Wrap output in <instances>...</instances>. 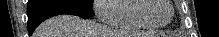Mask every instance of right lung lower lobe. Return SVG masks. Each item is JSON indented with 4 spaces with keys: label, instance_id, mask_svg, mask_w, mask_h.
Returning <instances> with one entry per match:
<instances>
[{
    "label": "right lung lower lobe",
    "instance_id": "right-lung-lower-lobe-1",
    "mask_svg": "<svg viewBox=\"0 0 219 37\" xmlns=\"http://www.w3.org/2000/svg\"><path fill=\"white\" fill-rule=\"evenodd\" d=\"M27 10L29 35L41 22L58 14H72L85 19L94 15L92 4L78 0H29Z\"/></svg>",
    "mask_w": 219,
    "mask_h": 37
}]
</instances>
